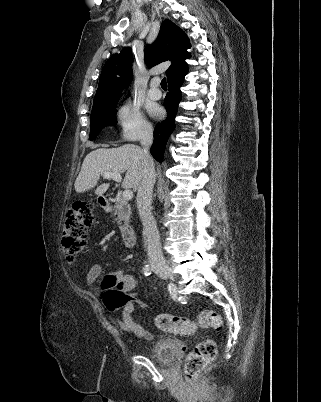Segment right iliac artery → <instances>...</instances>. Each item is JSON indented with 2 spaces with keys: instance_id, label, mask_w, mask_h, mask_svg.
I'll return each mask as SVG.
<instances>
[{
  "instance_id": "1",
  "label": "right iliac artery",
  "mask_w": 321,
  "mask_h": 402,
  "mask_svg": "<svg viewBox=\"0 0 321 402\" xmlns=\"http://www.w3.org/2000/svg\"><path fill=\"white\" fill-rule=\"evenodd\" d=\"M152 272V269L149 265H145L143 268V273L145 276H149Z\"/></svg>"
}]
</instances>
